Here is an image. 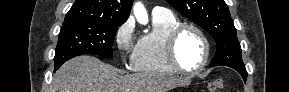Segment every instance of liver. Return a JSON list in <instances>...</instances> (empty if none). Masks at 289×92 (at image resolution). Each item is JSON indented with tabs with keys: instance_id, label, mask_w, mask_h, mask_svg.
I'll use <instances>...</instances> for the list:
<instances>
[{
	"instance_id": "obj_1",
	"label": "liver",
	"mask_w": 289,
	"mask_h": 92,
	"mask_svg": "<svg viewBox=\"0 0 289 92\" xmlns=\"http://www.w3.org/2000/svg\"><path fill=\"white\" fill-rule=\"evenodd\" d=\"M185 80L159 74L120 75L118 69L99 59L82 55L56 71L51 92H168Z\"/></svg>"
}]
</instances>
